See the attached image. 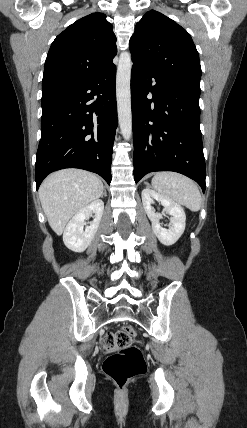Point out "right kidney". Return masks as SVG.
I'll return each mask as SVG.
<instances>
[{
    "instance_id": "ca27d5eb",
    "label": "right kidney",
    "mask_w": 247,
    "mask_h": 428,
    "mask_svg": "<svg viewBox=\"0 0 247 428\" xmlns=\"http://www.w3.org/2000/svg\"><path fill=\"white\" fill-rule=\"evenodd\" d=\"M103 211L104 202L97 199L76 213L64 230L65 246L74 252H83L90 245L98 230ZM93 213L95 214L93 221L84 230L85 220Z\"/></svg>"
}]
</instances>
